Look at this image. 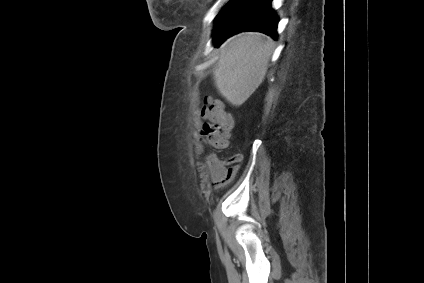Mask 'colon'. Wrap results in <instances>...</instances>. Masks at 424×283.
Here are the masks:
<instances>
[{"instance_id":"5ec220e1","label":"colon","mask_w":424,"mask_h":283,"mask_svg":"<svg viewBox=\"0 0 424 283\" xmlns=\"http://www.w3.org/2000/svg\"><path fill=\"white\" fill-rule=\"evenodd\" d=\"M202 117L207 123L202 131V139L214 148H225L230 138L232 119L223 107L222 103L214 100H206L200 110ZM213 161V154L207 156V163Z\"/></svg>"}]
</instances>
